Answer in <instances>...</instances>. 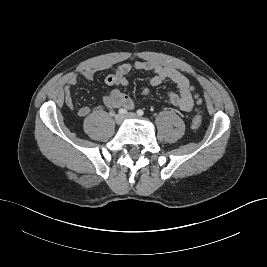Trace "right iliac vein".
<instances>
[{"label":"right iliac vein","instance_id":"63e3f726","mask_svg":"<svg viewBox=\"0 0 267 267\" xmlns=\"http://www.w3.org/2000/svg\"><path fill=\"white\" fill-rule=\"evenodd\" d=\"M125 119V116L123 114H117L115 116V122L117 124H121L123 122V120Z\"/></svg>","mask_w":267,"mask_h":267}]
</instances>
